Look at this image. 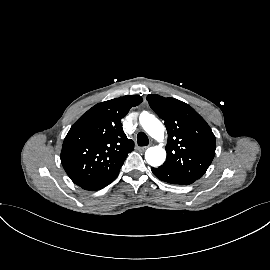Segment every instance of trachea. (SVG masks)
<instances>
[{
	"label": "trachea",
	"mask_w": 270,
	"mask_h": 270,
	"mask_svg": "<svg viewBox=\"0 0 270 270\" xmlns=\"http://www.w3.org/2000/svg\"><path fill=\"white\" fill-rule=\"evenodd\" d=\"M137 143L139 146H147L149 139L144 132H139L137 135Z\"/></svg>",
	"instance_id": "3493384b"
}]
</instances>
